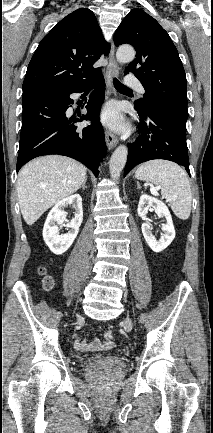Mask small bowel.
Here are the masks:
<instances>
[{"label": "small bowel", "instance_id": "1", "mask_svg": "<svg viewBox=\"0 0 213 433\" xmlns=\"http://www.w3.org/2000/svg\"><path fill=\"white\" fill-rule=\"evenodd\" d=\"M75 348L79 351H95L101 349H108L113 346L112 342L101 341L99 339H95L93 341H86L84 338H78L75 341Z\"/></svg>", "mask_w": 213, "mask_h": 433}]
</instances>
